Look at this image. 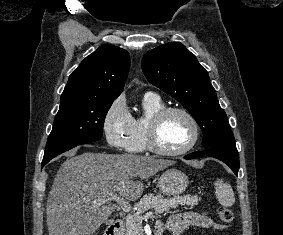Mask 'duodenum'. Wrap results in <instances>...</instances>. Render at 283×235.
I'll return each instance as SVG.
<instances>
[{"label": "duodenum", "mask_w": 283, "mask_h": 235, "mask_svg": "<svg viewBox=\"0 0 283 235\" xmlns=\"http://www.w3.org/2000/svg\"><path fill=\"white\" fill-rule=\"evenodd\" d=\"M124 227L122 220H116L108 227L106 235H121ZM155 235H162L161 224L157 223L155 226Z\"/></svg>", "instance_id": "1"}]
</instances>
